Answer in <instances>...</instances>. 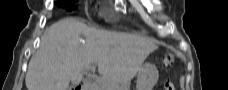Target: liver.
Masks as SVG:
<instances>
[{"mask_svg":"<svg viewBox=\"0 0 228 90\" xmlns=\"http://www.w3.org/2000/svg\"><path fill=\"white\" fill-rule=\"evenodd\" d=\"M156 49L150 38L97 30L66 18L42 36L40 48L29 62L25 83L28 90H68L70 82H81L86 67L98 66L100 78L110 84L106 88H114V84L129 83Z\"/></svg>","mask_w":228,"mask_h":90,"instance_id":"liver-1","label":"liver"}]
</instances>
